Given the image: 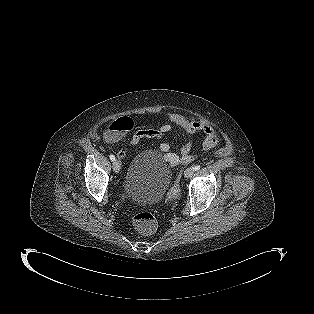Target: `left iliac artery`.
Instances as JSON below:
<instances>
[{
	"label": "left iliac artery",
	"instance_id": "obj_1",
	"mask_svg": "<svg viewBox=\"0 0 314 314\" xmlns=\"http://www.w3.org/2000/svg\"><path fill=\"white\" fill-rule=\"evenodd\" d=\"M194 171H198L200 169V166L199 165H196L193 167Z\"/></svg>",
	"mask_w": 314,
	"mask_h": 314
}]
</instances>
